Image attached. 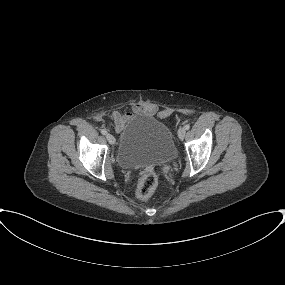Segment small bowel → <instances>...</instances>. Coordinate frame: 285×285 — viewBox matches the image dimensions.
Returning a JSON list of instances; mask_svg holds the SVG:
<instances>
[{"label": "small bowel", "mask_w": 285, "mask_h": 285, "mask_svg": "<svg viewBox=\"0 0 285 285\" xmlns=\"http://www.w3.org/2000/svg\"><path fill=\"white\" fill-rule=\"evenodd\" d=\"M139 111L147 114H153L156 112V106L152 103H141L132 106L130 109H125L124 111H114L111 115V119L115 125V129L118 132L122 131L127 121L133 116V114Z\"/></svg>", "instance_id": "c3829d8e"}]
</instances>
